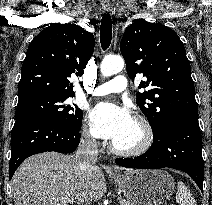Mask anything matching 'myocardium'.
<instances>
[{"label":"myocardium","instance_id":"1","mask_svg":"<svg viewBox=\"0 0 212 205\" xmlns=\"http://www.w3.org/2000/svg\"><path fill=\"white\" fill-rule=\"evenodd\" d=\"M134 121L139 125L142 137L140 142L130 148H121L118 147L114 142L111 143L110 148L113 153L125 156V157H135L144 154L147 152L154 142V132L151 123L147 118L141 115L134 117Z\"/></svg>","mask_w":212,"mask_h":205}]
</instances>
